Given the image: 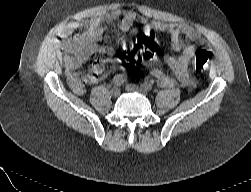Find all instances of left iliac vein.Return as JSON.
<instances>
[{
    "label": "left iliac vein",
    "instance_id": "1",
    "mask_svg": "<svg viewBox=\"0 0 251 192\" xmlns=\"http://www.w3.org/2000/svg\"><path fill=\"white\" fill-rule=\"evenodd\" d=\"M126 90L129 92H137L139 94H142L144 96L148 95L147 90H145L143 87L138 86V85H134V84H127L126 85Z\"/></svg>",
    "mask_w": 251,
    "mask_h": 192
}]
</instances>
